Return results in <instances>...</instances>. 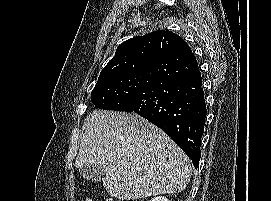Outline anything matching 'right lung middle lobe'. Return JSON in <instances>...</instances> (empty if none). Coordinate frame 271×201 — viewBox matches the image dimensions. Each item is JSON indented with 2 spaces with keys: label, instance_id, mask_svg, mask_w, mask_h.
I'll list each match as a JSON object with an SVG mask.
<instances>
[{
  "label": "right lung middle lobe",
  "instance_id": "dd1d6c3e",
  "mask_svg": "<svg viewBox=\"0 0 271 201\" xmlns=\"http://www.w3.org/2000/svg\"><path fill=\"white\" fill-rule=\"evenodd\" d=\"M152 79L153 75L148 69L120 72L98 78L91 93V100L99 109L118 111L124 100L145 92Z\"/></svg>",
  "mask_w": 271,
  "mask_h": 201
}]
</instances>
